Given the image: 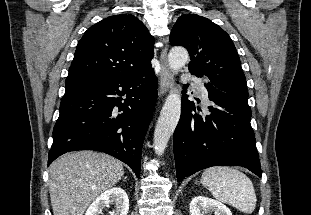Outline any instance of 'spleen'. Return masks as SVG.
Masks as SVG:
<instances>
[{"mask_svg": "<svg viewBox=\"0 0 311 215\" xmlns=\"http://www.w3.org/2000/svg\"><path fill=\"white\" fill-rule=\"evenodd\" d=\"M201 182L217 200L232 205L245 214L254 211L257 201L254 186L238 169L210 167L203 172Z\"/></svg>", "mask_w": 311, "mask_h": 215, "instance_id": "1", "label": "spleen"}]
</instances>
